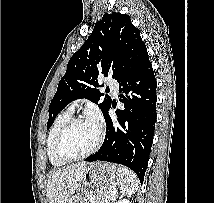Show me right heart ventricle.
Returning a JSON list of instances; mask_svg holds the SVG:
<instances>
[{"label": "right heart ventricle", "instance_id": "right-heart-ventricle-1", "mask_svg": "<svg viewBox=\"0 0 214 203\" xmlns=\"http://www.w3.org/2000/svg\"><path fill=\"white\" fill-rule=\"evenodd\" d=\"M72 115H73L72 108L68 107L67 109L63 110L56 117V119L48 133L47 142H46L47 156H48L51 164L56 167L63 166L65 164V162L62 161L55 152V141H56L59 131L72 118Z\"/></svg>", "mask_w": 214, "mask_h": 203}]
</instances>
